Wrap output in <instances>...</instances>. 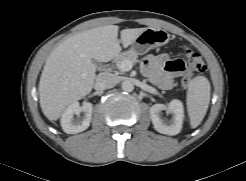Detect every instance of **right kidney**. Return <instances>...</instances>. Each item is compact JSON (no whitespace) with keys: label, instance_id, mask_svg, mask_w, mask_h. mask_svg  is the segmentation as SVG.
I'll list each match as a JSON object with an SVG mask.
<instances>
[{"label":"right kidney","instance_id":"obj_1","mask_svg":"<svg viewBox=\"0 0 246 181\" xmlns=\"http://www.w3.org/2000/svg\"><path fill=\"white\" fill-rule=\"evenodd\" d=\"M93 105L89 102L84 103L82 106L77 101L71 103L61 117V126L67 134H77L86 130L91 121ZM84 113V118L80 119V113ZM77 115V118H74Z\"/></svg>","mask_w":246,"mask_h":181}]
</instances>
